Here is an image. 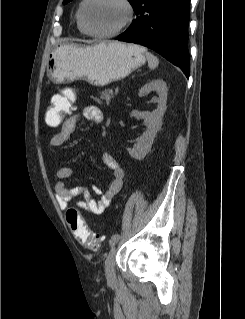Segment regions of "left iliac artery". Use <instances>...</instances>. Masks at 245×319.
<instances>
[{
    "label": "left iliac artery",
    "instance_id": "left-iliac-artery-1",
    "mask_svg": "<svg viewBox=\"0 0 245 319\" xmlns=\"http://www.w3.org/2000/svg\"><path fill=\"white\" fill-rule=\"evenodd\" d=\"M119 239H120V235L119 234L112 235V237H111V239L109 241L110 246H114L118 242Z\"/></svg>",
    "mask_w": 245,
    "mask_h": 319
}]
</instances>
